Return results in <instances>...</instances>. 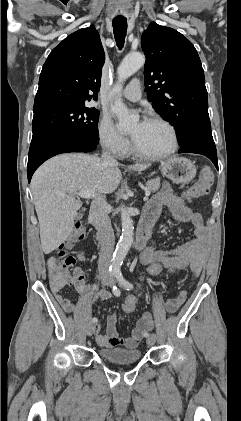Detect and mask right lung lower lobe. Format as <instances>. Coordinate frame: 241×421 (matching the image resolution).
Here are the masks:
<instances>
[{
	"label": "right lung lower lobe",
	"mask_w": 241,
	"mask_h": 421,
	"mask_svg": "<svg viewBox=\"0 0 241 421\" xmlns=\"http://www.w3.org/2000/svg\"><path fill=\"white\" fill-rule=\"evenodd\" d=\"M97 144L74 136H52L31 142L27 165L28 181L34 171L47 159L61 153L91 152Z\"/></svg>",
	"instance_id": "98d812e1"
}]
</instances>
